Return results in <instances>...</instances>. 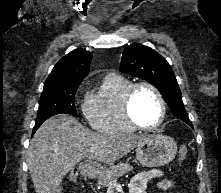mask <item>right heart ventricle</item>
Masks as SVG:
<instances>
[{"instance_id":"1","label":"right heart ventricle","mask_w":221,"mask_h":193,"mask_svg":"<svg viewBox=\"0 0 221 193\" xmlns=\"http://www.w3.org/2000/svg\"><path fill=\"white\" fill-rule=\"evenodd\" d=\"M131 82L124 77L109 75L100 92L88 98L83 106L87 122L95 130L107 134H128L135 131L126 120L122 101Z\"/></svg>"}]
</instances>
